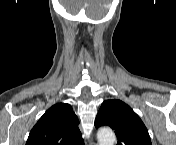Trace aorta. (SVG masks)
<instances>
[{"instance_id":"aorta-1","label":"aorta","mask_w":176,"mask_h":145,"mask_svg":"<svg viewBox=\"0 0 176 145\" xmlns=\"http://www.w3.org/2000/svg\"><path fill=\"white\" fill-rule=\"evenodd\" d=\"M97 139L99 145H113L116 137L110 128H101L98 130Z\"/></svg>"}]
</instances>
